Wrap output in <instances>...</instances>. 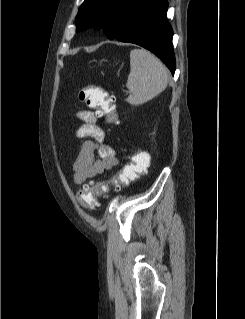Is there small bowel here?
Wrapping results in <instances>:
<instances>
[{
    "label": "small bowel",
    "instance_id": "c3829d8e",
    "mask_svg": "<svg viewBox=\"0 0 245 319\" xmlns=\"http://www.w3.org/2000/svg\"><path fill=\"white\" fill-rule=\"evenodd\" d=\"M76 116L83 124L76 130L75 136L84 142L73 162V171L74 182L82 184L113 169L118 162L114 149L105 143L104 130L97 124L99 114L82 110Z\"/></svg>",
    "mask_w": 245,
    "mask_h": 319
}]
</instances>
